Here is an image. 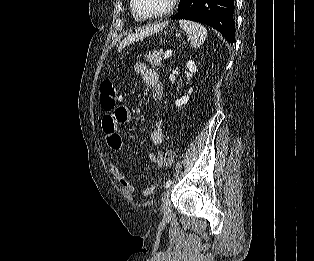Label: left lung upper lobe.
<instances>
[{
    "label": "left lung upper lobe",
    "mask_w": 314,
    "mask_h": 261,
    "mask_svg": "<svg viewBox=\"0 0 314 261\" xmlns=\"http://www.w3.org/2000/svg\"><path fill=\"white\" fill-rule=\"evenodd\" d=\"M183 1H184V0H180V3H179L178 8L181 6V4H182Z\"/></svg>",
    "instance_id": "left-lung-upper-lobe-1"
}]
</instances>
